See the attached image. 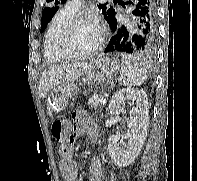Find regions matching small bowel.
<instances>
[{
	"label": "small bowel",
	"mask_w": 197,
	"mask_h": 181,
	"mask_svg": "<svg viewBox=\"0 0 197 181\" xmlns=\"http://www.w3.org/2000/svg\"><path fill=\"white\" fill-rule=\"evenodd\" d=\"M71 126L72 134L67 142L62 141L60 146V169L66 181H75L78 177L80 165L74 159L73 143L80 135L86 134L91 141L97 139L95 121L85 111L76 110L73 115ZM89 181H104V172L101 160L94 157L89 165Z\"/></svg>",
	"instance_id": "c3829d8e"
}]
</instances>
